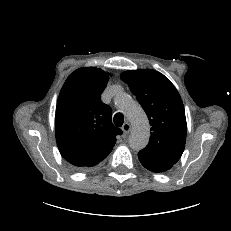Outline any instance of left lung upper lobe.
<instances>
[{"instance_id":"left-lung-upper-lobe-1","label":"left lung upper lobe","mask_w":231,"mask_h":231,"mask_svg":"<svg viewBox=\"0 0 231 231\" xmlns=\"http://www.w3.org/2000/svg\"><path fill=\"white\" fill-rule=\"evenodd\" d=\"M146 112L151 136L144 158L174 165L180 159L186 142L187 124L182 99L170 80L151 69L130 70L121 74Z\"/></svg>"}]
</instances>
